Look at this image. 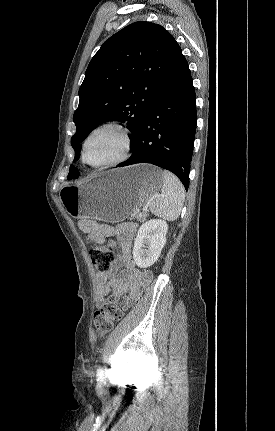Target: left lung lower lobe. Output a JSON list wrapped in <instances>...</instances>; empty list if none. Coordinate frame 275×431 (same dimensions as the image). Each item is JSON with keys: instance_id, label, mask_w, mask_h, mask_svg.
<instances>
[{"instance_id": "1", "label": "left lung lower lobe", "mask_w": 275, "mask_h": 431, "mask_svg": "<svg viewBox=\"0 0 275 431\" xmlns=\"http://www.w3.org/2000/svg\"><path fill=\"white\" fill-rule=\"evenodd\" d=\"M196 123L195 90L188 63L180 52L132 143L133 154L117 167L154 164L173 172L187 190Z\"/></svg>"}]
</instances>
